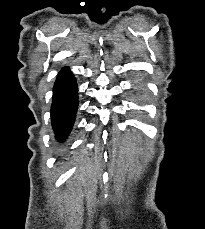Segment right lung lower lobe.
Returning <instances> with one entry per match:
<instances>
[{
	"label": "right lung lower lobe",
	"mask_w": 205,
	"mask_h": 229,
	"mask_svg": "<svg viewBox=\"0 0 205 229\" xmlns=\"http://www.w3.org/2000/svg\"><path fill=\"white\" fill-rule=\"evenodd\" d=\"M77 107V83L69 69L64 68L55 81L51 105L52 127L58 141H64L70 133Z\"/></svg>",
	"instance_id": "98d812e1"
}]
</instances>
